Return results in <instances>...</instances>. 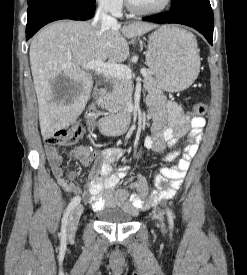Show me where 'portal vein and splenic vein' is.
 Masks as SVG:
<instances>
[{
  "mask_svg": "<svg viewBox=\"0 0 247 275\" xmlns=\"http://www.w3.org/2000/svg\"><path fill=\"white\" fill-rule=\"evenodd\" d=\"M82 68L119 79L130 80L132 78L131 70L127 66L121 64H109L102 61H93L83 65ZM140 72L144 77H146L148 74L146 69H141Z\"/></svg>",
  "mask_w": 247,
  "mask_h": 275,
  "instance_id": "18ae733b",
  "label": "portal vein and splenic vein"
}]
</instances>
